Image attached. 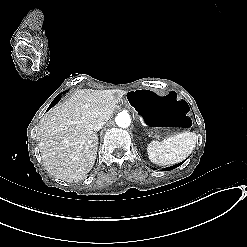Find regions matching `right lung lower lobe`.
I'll use <instances>...</instances> for the list:
<instances>
[{"label":"right lung lower lobe","mask_w":247,"mask_h":247,"mask_svg":"<svg viewBox=\"0 0 247 247\" xmlns=\"http://www.w3.org/2000/svg\"><path fill=\"white\" fill-rule=\"evenodd\" d=\"M64 93H65V92H62V93L58 94V95L55 97V99L51 102V104H50L48 110H49L51 107H53V106L61 99V95L64 94Z\"/></svg>","instance_id":"1"}]
</instances>
